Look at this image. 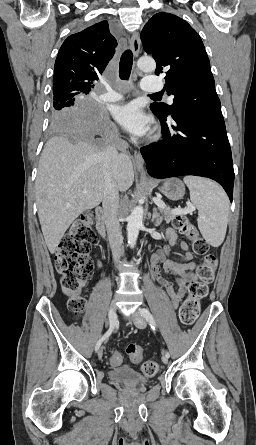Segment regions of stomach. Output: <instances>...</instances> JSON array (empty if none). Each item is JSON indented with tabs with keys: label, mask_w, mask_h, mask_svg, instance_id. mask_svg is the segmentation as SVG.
Masks as SVG:
<instances>
[{
	"label": "stomach",
	"mask_w": 256,
	"mask_h": 445,
	"mask_svg": "<svg viewBox=\"0 0 256 445\" xmlns=\"http://www.w3.org/2000/svg\"><path fill=\"white\" fill-rule=\"evenodd\" d=\"M159 190L164 196L172 201L182 199L185 194L184 184L178 178L166 180Z\"/></svg>",
	"instance_id": "obj_1"
}]
</instances>
